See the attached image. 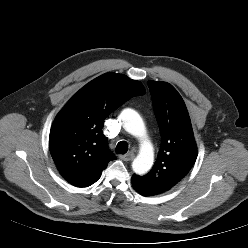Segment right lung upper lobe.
<instances>
[{
    "mask_svg": "<svg viewBox=\"0 0 248 248\" xmlns=\"http://www.w3.org/2000/svg\"><path fill=\"white\" fill-rule=\"evenodd\" d=\"M143 86L125 75L106 73L80 89L54 120L49 137L51 156L60 174L71 185L87 187L96 182L115 159L106 146L104 119Z\"/></svg>",
    "mask_w": 248,
    "mask_h": 248,
    "instance_id": "cb5924a9",
    "label": "right lung upper lobe"
}]
</instances>
